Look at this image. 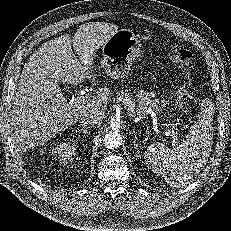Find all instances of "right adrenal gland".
I'll use <instances>...</instances> for the list:
<instances>
[{"label":"right adrenal gland","instance_id":"2a0ac1e0","mask_svg":"<svg viewBox=\"0 0 231 231\" xmlns=\"http://www.w3.org/2000/svg\"><path fill=\"white\" fill-rule=\"evenodd\" d=\"M77 131H79V132H81V133H83V134H85V135L90 133V131L85 130V129H83V128H81V129H80V128H77L76 132H77Z\"/></svg>","mask_w":231,"mask_h":231}]
</instances>
